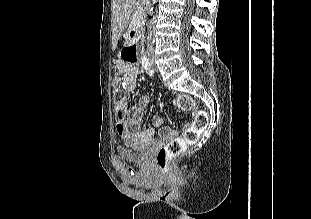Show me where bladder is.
I'll return each instance as SVG.
<instances>
[{
  "mask_svg": "<svg viewBox=\"0 0 311 219\" xmlns=\"http://www.w3.org/2000/svg\"><path fill=\"white\" fill-rule=\"evenodd\" d=\"M150 146L149 144H144L140 147L128 148L124 146L117 147L118 155L132 162H143L149 154Z\"/></svg>",
  "mask_w": 311,
  "mask_h": 219,
  "instance_id": "obj_1",
  "label": "bladder"
}]
</instances>
